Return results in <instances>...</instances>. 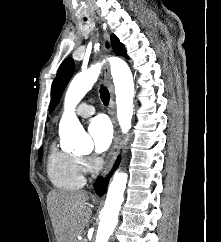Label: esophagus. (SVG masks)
I'll list each match as a JSON object with an SVG mask.
<instances>
[{
    "mask_svg": "<svg viewBox=\"0 0 221 242\" xmlns=\"http://www.w3.org/2000/svg\"><path fill=\"white\" fill-rule=\"evenodd\" d=\"M104 38L108 39V33L104 32ZM104 76L105 80L107 82L109 92H110V103H109V114L112 120L113 128H114V136H113V142L109 151L108 159L106 162V165L103 169L102 175L106 176L110 170L113 167V164L117 158V155L119 153L120 149V141H121V136H120V131L118 128L117 124V118H116V113H115V101H114V86L112 83V79L110 76V70L108 64L105 65L104 69Z\"/></svg>",
    "mask_w": 221,
    "mask_h": 242,
    "instance_id": "esophagus-1",
    "label": "esophagus"
}]
</instances>
